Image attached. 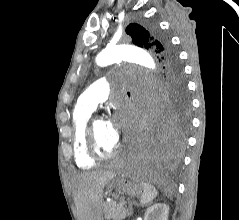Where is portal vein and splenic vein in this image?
<instances>
[{
  "label": "portal vein and splenic vein",
  "mask_w": 239,
  "mask_h": 220,
  "mask_svg": "<svg viewBox=\"0 0 239 220\" xmlns=\"http://www.w3.org/2000/svg\"><path fill=\"white\" fill-rule=\"evenodd\" d=\"M122 204L125 205V202H121V205H122Z\"/></svg>",
  "instance_id": "portal-vein-and-splenic-vein-1"
}]
</instances>
